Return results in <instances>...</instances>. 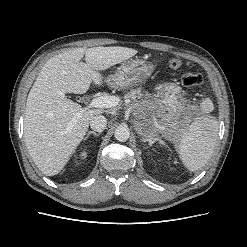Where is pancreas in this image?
<instances>
[{
	"label": "pancreas",
	"instance_id": "cf45deb5",
	"mask_svg": "<svg viewBox=\"0 0 247 247\" xmlns=\"http://www.w3.org/2000/svg\"><path fill=\"white\" fill-rule=\"evenodd\" d=\"M150 95L148 93L143 94L140 89H132L125 95L127 104L132 105L134 112L138 113L141 111L142 106L148 102ZM141 99V101H139Z\"/></svg>",
	"mask_w": 247,
	"mask_h": 247
}]
</instances>
